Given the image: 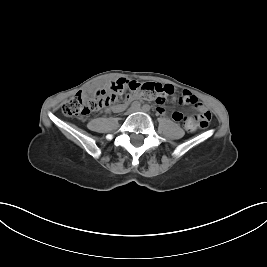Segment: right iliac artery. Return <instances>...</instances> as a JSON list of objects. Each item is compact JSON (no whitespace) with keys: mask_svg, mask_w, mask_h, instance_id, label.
<instances>
[{"mask_svg":"<svg viewBox=\"0 0 267 267\" xmlns=\"http://www.w3.org/2000/svg\"><path fill=\"white\" fill-rule=\"evenodd\" d=\"M140 106H141V104L138 101L133 102L131 105V107L133 109H138V108H140Z\"/></svg>","mask_w":267,"mask_h":267,"instance_id":"82829eb1","label":"right iliac artery"}]
</instances>
